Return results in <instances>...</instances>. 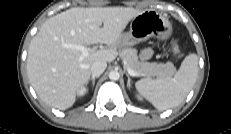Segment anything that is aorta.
I'll return each mask as SVG.
<instances>
[{
	"mask_svg": "<svg viewBox=\"0 0 231 134\" xmlns=\"http://www.w3.org/2000/svg\"><path fill=\"white\" fill-rule=\"evenodd\" d=\"M109 78H110L111 80L116 81V80H118V79L120 78V74H119L118 71H111V72L109 73Z\"/></svg>",
	"mask_w": 231,
	"mask_h": 134,
	"instance_id": "aorta-1",
	"label": "aorta"
}]
</instances>
